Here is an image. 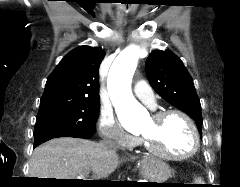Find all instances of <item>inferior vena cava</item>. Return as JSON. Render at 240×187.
<instances>
[{"mask_svg": "<svg viewBox=\"0 0 240 187\" xmlns=\"http://www.w3.org/2000/svg\"><path fill=\"white\" fill-rule=\"evenodd\" d=\"M104 144H105L108 148L115 149L114 144L111 143V142H104Z\"/></svg>", "mask_w": 240, "mask_h": 187, "instance_id": "inferior-vena-cava-1", "label": "inferior vena cava"}]
</instances>
